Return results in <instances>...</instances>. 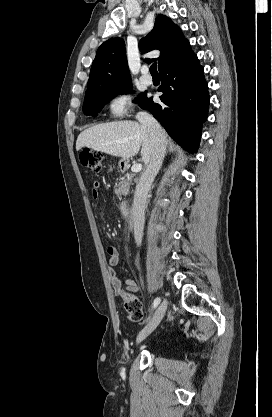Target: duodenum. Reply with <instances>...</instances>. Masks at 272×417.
<instances>
[{"label":"duodenum","instance_id":"410a0bca","mask_svg":"<svg viewBox=\"0 0 272 417\" xmlns=\"http://www.w3.org/2000/svg\"><path fill=\"white\" fill-rule=\"evenodd\" d=\"M122 169L125 170L126 169V165L122 166ZM119 209L121 214L128 219L130 217V213H131V206L128 200H124L120 203L119 205Z\"/></svg>","mask_w":272,"mask_h":417}]
</instances>
